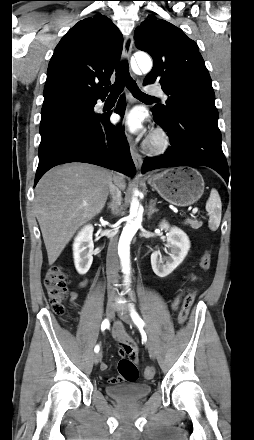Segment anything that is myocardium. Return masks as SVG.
<instances>
[{"instance_id":"obj_1","label":"myocardium","mask_w":254,"mask_h":440,"mask_svg":"<svg viewBox=\"0 0 254 440\" xmlns=\"http://www.w3.org/2000/svg\"><path fill=\"white\" fill-rule=\"evenodd\" d=\"M170 145V137L163 129H157L148 139L146 148L152 154H160L167 150Z\"/></svg>"}]
</instances>
